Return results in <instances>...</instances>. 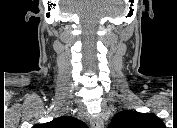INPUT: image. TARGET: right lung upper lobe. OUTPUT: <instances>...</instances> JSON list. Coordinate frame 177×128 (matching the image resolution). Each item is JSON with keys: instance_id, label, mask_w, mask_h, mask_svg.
Returning a JSON list of instances; mask_svg holds the SVG:
<instances>
[{"instance_id": "obj_1", "label": "right lung upper lobe", "mask_w": 177, "mask_h": 128, "mask_svg": "<svg viewBox=\"0 0 177 128\" xmlns=\"http://www.w3.org/2000/svg\"><path fill=\"white\" fill-rule=\"evenodd\" d=\"M40 126H45L48 128H85L87 127L86 124L83 123L82 121L74 117H70V116L58 117Z\"/></svg>"}]
</instances>
